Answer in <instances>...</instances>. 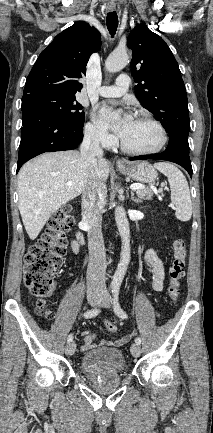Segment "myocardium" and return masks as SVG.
<instances>
[{
    "label": "myocardium",
    "mask_w": 213,
    "mask_h": 433,
    "mask_svg": "<svg viewBox=\"0 0 213 433\" xmlns=\"http://www.w3.org/2000/svg\"><path fill=\"white\" fill-rule=\"evenodd\" d=\"M136 120L145 121V122L153 125L159 133V141L154 147H152L150 149L135 150V149H131V148L127 147L121 139L120 140L121 150L127 154L136 155V156L151 155V154H155V153H158L159 151H161L164 148V146L166 145L167 140H168L167 132H166L164 126L157 119H155L153 116H151L149 114H145V113L139 114L137 116Z\"/></svg>",
    "instance_id": "obj_1"
}]
</instances>
